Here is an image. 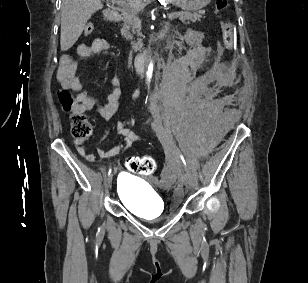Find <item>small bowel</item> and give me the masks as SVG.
Masks as SVG:
<instances>
[{
  "instance_id": "obj_1",
  "label": "small bowel",
  "mask_w": 308,
  "mask_h": 283,
  "mask_svg": "<svg viewBox=\"0 0 308 283\" xmlns=\"http://www.w3.org/2000/svg\"><path fill=\"white\" fill-rule=\"evenodd\" d=\"M108 48L109 45L105 39L97 38L91 44L80 45L78 47V54L81 57H91L95 54L106 51ZM57 77L63 89L78 92V111L85 112L96 107L99 115L106 121L110 120L117 111L118 100L121 95L119 79L117 77L113 81L115 88L108 94L104 104H98L95 98L83 90V84L81 83L77 73V63L71 57L65 56L61 59ZM134 98H136V95H134ZM133 123L134 119L132 117L118 122L116 125V130L122 137V142L118 146L109 150L99 148L97 150V155L100 158H108L117 154L122 149H128L133 143H135L139 139V136L131 130ZM74 144L80 156L85 158L88 162L95 161L96 155L87 151L84 145V140L75 139Z\"/></svg>"
}]
</instances>
